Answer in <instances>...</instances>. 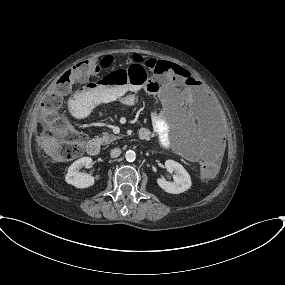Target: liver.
Returning a JSON list of instances; mask_svg holds the SVG:
<instances>
[{"label": "liver", "instance_id": "liver-1", "mask_svg": "<svg viewBox=\"0 0 285 285\" xmlns=\"http://www.w3.org/2000/svg\"><path fill=\"white\" fill-rule=\"evenodd\" d=\"M37 143L38 146L48 155L56 154L61 146L58 138L45 133H41V135L37 138Z\"/></svg>", "mask_w": 285, "mask_h": 285}]
</instances>
